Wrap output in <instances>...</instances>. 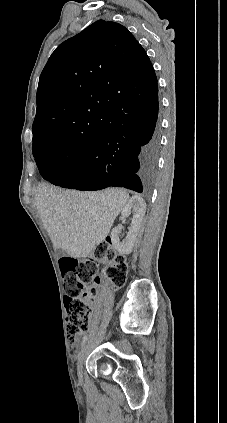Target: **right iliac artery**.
<instances>
[{"instance_id":"82829eb1","label":"right iliac artery","mask_w":227,"mask_h":423,"mask_svg":"<svg viewBox=\"0 0 227 423\" xmlns=\"http://www.w3.org/2000/svg\"><path fill=\"white\" fill-rule=\"evenodd\" d=\"M87 339H88L87 336H84L83 337V339H82V346L87 342Z\"/></svg>"}]
</instances>
